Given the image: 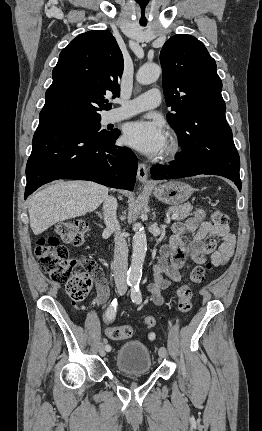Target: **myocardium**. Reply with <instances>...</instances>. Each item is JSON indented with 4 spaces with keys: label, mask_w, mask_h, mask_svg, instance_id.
Returning a JSON list of instances; mask_svg holds the SVG:
<instances>
[{
    "label": "myocardium",
    "mask_w": 262,
    "mask_h": 431,
    "mask_svg": "<svg viewBox=\"0 0 262 431\" xmlns=\"http://www.w3.org/2000/svg\"><path fill=\"white\" fill-rule=\"evenodd\" d=\"M183 152V145L180 139L176 136H171L166 149L163 153L162 159L165 161H173L177 159Z\"/></svg>",
    "instance_id": "myocardium-1"
}]
</instances>
